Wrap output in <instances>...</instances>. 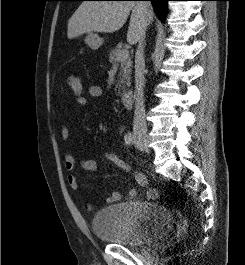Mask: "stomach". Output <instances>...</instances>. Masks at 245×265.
<instances>
[{
    "instance_id": "0dacf381",
    "label": "stomach",
    "mask_w": 245,
    "mask_h": 265,
    "mask_svg": "<svg viewBox=\"0 0 245 265\" xmlns=\"http://www.w3.org/2000/svg\"><path fill=\"white\" fill-rule=\"evenodd\" d=\"M84 41L92 50H97L103 45V39L94 33H87Z\"/></svg>"
}]
</instances>
